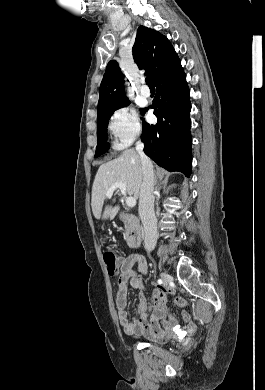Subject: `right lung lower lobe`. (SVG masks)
Segmentation results:
<instances>
[{
	"label": "right lung lower lobe",
	"mask_w": 265,
	"mask_h": 390,
	"mask_svg": "<svg viewBox=\"0 0 265 390\" xmlns=\"http://www.w3.org/2000/svg\"><path fill=\"white\" fill-rule=\"evenodd\" d=\"M156 96L150 108L158 122L143 121L144 152L168 171L191 174L190 92L180 61L154 82ZM148 108L144 109L145 113Z\"/></svg>",
	"instance_id": "obj_1"
}]
</instances>
